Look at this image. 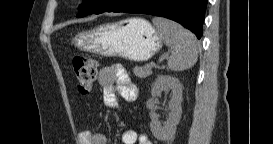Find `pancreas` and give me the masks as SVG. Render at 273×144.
Segmentation results:
<instances>
[{
	"instance_id": "1",
	"label": "pancreas",
	"mask_w": 273,
	"mask_h": 144,
	"mask_svg": "<svg viewBox=\"0 0 273 144\" xmlns=\"http://www.w3.org/2000/svg\"><path fill=\"white\" fill-rule=\"evenodd\" d=\"M133 73L139 78H146L152 74V71L151 68H146V66L144 68L136 66L133 69Z\"/></svg>"
}]
</instances>
